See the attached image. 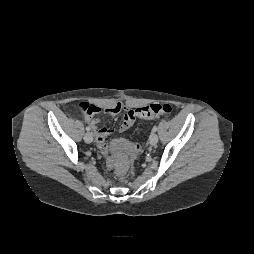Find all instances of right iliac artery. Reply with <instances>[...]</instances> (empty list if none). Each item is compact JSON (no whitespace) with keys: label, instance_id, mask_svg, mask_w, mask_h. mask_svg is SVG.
<instances>
[{"label":"right iliac artery","instance_id":"obj_1","mask_svg":"<svg viewBox=\"0 0 254 254\" xmlns=\"http://www.w3.org/2000/svg\"><path fill=\"white\" fill-rule=\"evenodd\" d=\"M86 130H87V131H90V130H91V128H90L89 126H87V127H86Z\"/></svg>","mask_w":254,"mask_h":254}]
</instances>
